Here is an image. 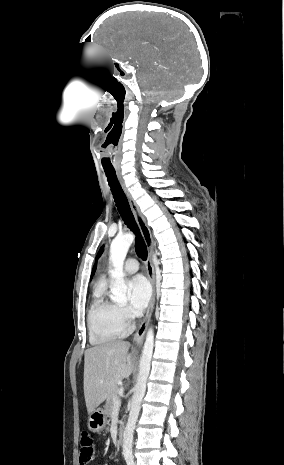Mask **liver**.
Segmentation results:
<instances>
[{
	"label": "liver",
	"instance_id": "6515ba94",
	"mask_svg": "<svg viewBox=\"0 0 284 465\" xmlns=\"http://www.w3.org/2000/svg\"><path fill=\"white\" fill-rule=\"evenodd\" d=\"M130 343L108 341L87 349L84 355V397L88 413H93L118 381L128 379L133 371Z\"/></svg>",
	"mask_w": 284,
	"mask_h": 465
}]
</instances>
